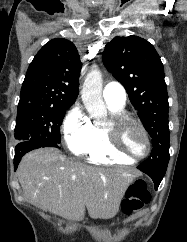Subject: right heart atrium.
I'll return each instance as SVG.
<instances>
[{
    "label": "right heart atrium",
    "mask_w": 187,
    "mask_h": 242,
    "mask_svg": "<svg viewBox=\"0 0 187 242\" xmlns=\"http://www.w3.org/2000/svg\"><path fill=\"white\" fill-rule=\"evenodd\" d=\"M64 141L71 153L84 155L98 140L97 128L80 107L68 113L63 125Z\"/></svg>",
    "instance_id": "obj_1"
}]
</instances>
